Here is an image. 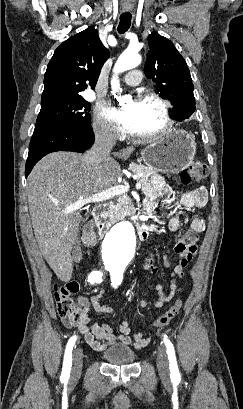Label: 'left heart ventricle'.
<instances>
[{"mask_svg": "<svg viewBox=\"0 0 243 409\" xmlns=\"http://www.w3.org/2000/svg\"><path fill=\"white\" fill-rule=\"evenodd\" d=\"M133 113L132 134H146L163 126L161 107L154 101H134L128 107Z\"/></svg>", "mask_w": 243, "mask_h": 409, "instance_id": "obj_1", "label": "left heart ventricle"}]
</instances>
